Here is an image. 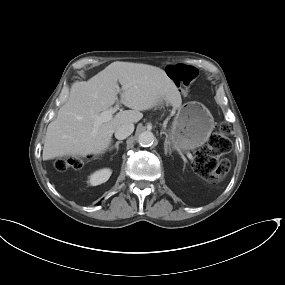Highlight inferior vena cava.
<instances>
[{
	"label": "inferior vena cava",
	"instance_id": "602c4592",
	"mask_svg": "<svg viewBox=\"0 0 285 285\" xmlns=\"http://www.w3.org/2000/svg\"><path fill=\"white\" fill-rule=\"evenodd\" d=\"M133 131L134 125L132 123L121 124L115 129V138L123 140L131 135Z\"/></svg>",
	"mask_w": 285,
	"mask_h": 285
}]
</instances>
